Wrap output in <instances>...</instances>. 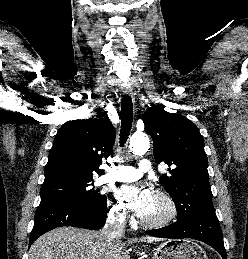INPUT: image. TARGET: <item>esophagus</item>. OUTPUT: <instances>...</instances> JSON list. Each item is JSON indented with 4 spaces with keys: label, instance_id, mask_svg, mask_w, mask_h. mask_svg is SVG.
<instances>
[{
    "label": "esophagus",
    "instance_id": "1",
    "mask_svg": "<svg viewBox=\"0 0 248 259\" xmlns=\"http://www.w3.org/2000/svg\"><path fill=\"white\" fill-rule=\"evenodd\" d=\"M123 92H124L125 95H131L132 94V92L129 91V90H126V91H123Z\"/></svg>",
    "mask_w": 248,
    "mask_h": 259
}]
</instances>
